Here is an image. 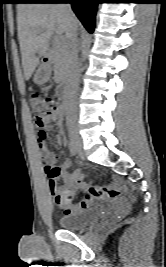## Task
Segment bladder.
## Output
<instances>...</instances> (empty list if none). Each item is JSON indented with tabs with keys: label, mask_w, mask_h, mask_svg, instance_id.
Returning a JSON list of instances; mask_svg holds the SVG:
<instances>
[{
	"label": "bladder",
	"mask_w": 166,
	"mask_h": 267,
	"mask_svg": "<svg viewBox=\"0 0 166 267\" xmlns=\"http://www.w3.org/2000/svg\"><path fill=\"white\" fill-rule=\"evenodd\" d=\"M99 217L97 209L81 210L72 214H65L60 217L59 225L64 230H76L82 228Z\"/></svg>",
	"instance_id": "1"
}]
</instances>
